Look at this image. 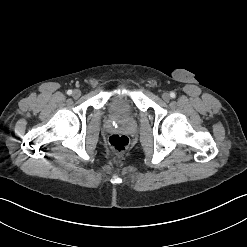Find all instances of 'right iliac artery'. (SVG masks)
<instances>
[{
  "mask_svg": "<svg viewBox=\"0 0 247 247\" xmlns=\"http://www.w3.org/2000/svg\"><path fill=\"white\" fill-rule=\"evenodd\" d=\"M67 94H68V95H71V94H72V90H68V91H67Z\"/></svg>",
  "mask_w": 247,
  "mask_h": 247,
  "instance_id": "obj_1",
  "label": "right iliac artery"
}]
</instances>
